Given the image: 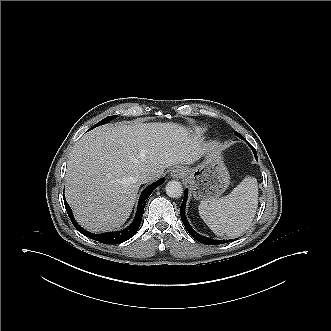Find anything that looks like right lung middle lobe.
Returning <instances> with one entry per match:
<instances>
[{
    "label": "right lung middle lobe",
    "mask_w": 331,
    "mask_h": 331,
    "mask_svg": "<svg viewBox=\"0 0 331 331\" xmlns=\"http://www.w3.org/2000/svg\"><path fill=\"white\" fill-rule=\"evenodd\" d=\"M114 118H116V116H108L106 117L105 119L101 120L100 122H98L96 125H94L91 129L99 126V125H103V124H106L108 123L109 121L113 120ZM90 129V130H91Z\"/></svg>",
    "instance_id": "dd1d6c3e"
}]
</instances>
